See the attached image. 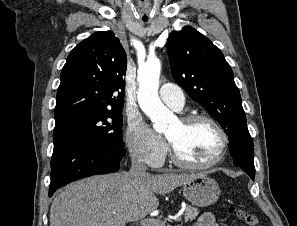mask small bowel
Listing matches in <instances>:
<instances>
[{"mask_svg": "<svg viewBox=\"0 0 297 226\" xmlns=\"http://www.w3.org/2000/svg\"><path fill=\"white\" fill-rule=\"evenodd\" d=\"M194 226H226L216 223L212 213L205 212L197 220Z\"/></svg>", "mask_w": 297, "mask_h": 226, "instance_id": "c3829d8e", "label": "small bowel"}]
</instances>
